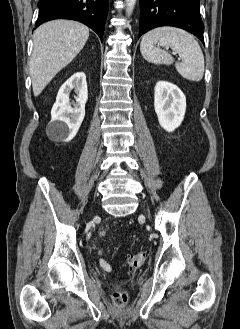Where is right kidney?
I'll use <instances>...</instances> for the list:
<instances>
[{
    "mask_svg": "<svg viewBox=\"0 0 240 329\" xmlns=\"http://www.w3.org/2000/svg\"><path fill=\"white\" fill-rule=\"evenodd\" d=\"M74 89L76 102H70L69 95ZM88 99L86 75L83 72L73 74L59 89L56 102L51 110V121L47 133L63 142L71 141L77 134L85 116V104Z\"/></svg>",
    "mask_w": 240,
    "mask_h": 329,
    "instance_id": "obj_1",
    "label": "right kidney"
}]
</instances>
